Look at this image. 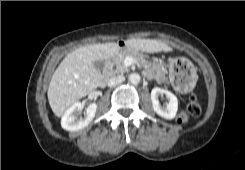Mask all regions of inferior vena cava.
Wrapping results in <instances>:
<instances>
[{"label":"inferior vena cava","mask_w":245,"mask_h":170,"mask_svg":"<svg viewBox=\"0 0 245 170\" xmlns=\"http://www.w3.org/2000/svg\"><path fill=\"white\" fill-rule=\"evenodd\" d=\"M125 81V77L123 75L113 76L108 80V86L114 87Z\"/></svg>","instance_id":"1"}]
</instances>
